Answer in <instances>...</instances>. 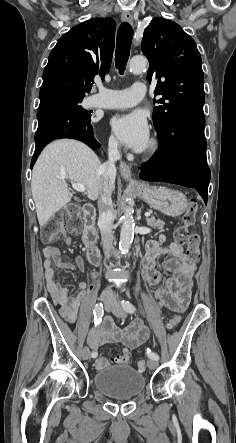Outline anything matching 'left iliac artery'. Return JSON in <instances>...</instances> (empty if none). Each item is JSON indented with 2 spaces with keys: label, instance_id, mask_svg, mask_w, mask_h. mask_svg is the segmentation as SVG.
I'll list each match as a JSON object with an SVG mask.
<instances>
[{
  "label": "left iliac artery",
  "instance_id": "44dca946",
  "mask_svg": "<svg viewBox=\"0 0 236 443\" xmlns=\"http://www.w3.org/2000/svg\"><path fill=\"white\" fill-rule=\"evenodd\" d=\"M122 307L128 313H134L136 311L135 306L131 302H129V301H124L123 300L122 301ZM146 353H147V356L150 359H154V360H158L159 359V356L156 353L152 352L149 348H147V352Z\"/></svg>",
  "mask_w": 236,
  "mask_h": 443
}]
</instances>
